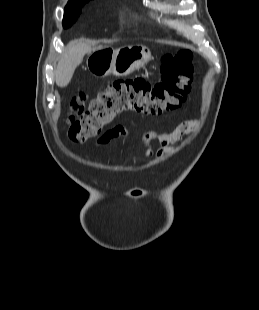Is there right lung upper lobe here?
I'll return each mask as SVG.
<instances>
[{
  "instance_id": "right-lung-upper-lobe-1",
  "label": "right lung upper lobe",
  "mask_w": 259,
  "mask_h": 310,
  "mask_svg": "<svg viewBox=\"0 0 259 310\" xmlns=\"http://www.w3.org/2000/svg\"><path fill=\"white\" fill-rule=\"evenodd\" d=\"M84 1H89V0H69V2L67 3L65 10H69L77 5H79L80 3L84 2Z\"/></svg>"
}]
</instances>
